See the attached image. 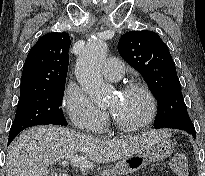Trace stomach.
Returning <instances> with one entry per match:
<instances>
[{
    "mask_svg": "<svg viewBox=\"0 0 205 176\" xmlns=\"http://www.w3.org/2000/svg\"><path fill=\"white\" fill-rule=\"evenodd\" d=\"M174 149V143L167 137L160 139L147 148L146 152H139L122 159L113 170L106 171L107 176L134 173L151 162L161 161L168 157Z\"/></svg>",
    "mask_w": 205,
    "mask_h": 176,
    "instance_id": "stomach-1",
    "label": "stomach"
}]
</instances>
